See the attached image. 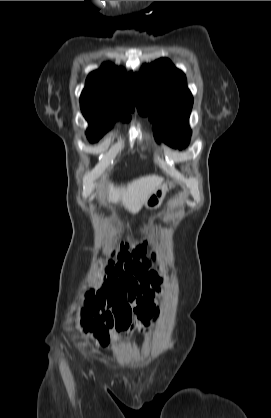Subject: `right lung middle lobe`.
Wrapping results in <instances>:
<instances>
[{"mask_svg":"<svg viewBox=\"0 0 271 418\" xmlns=\"http://www.w3.org/2000/svg\"><path fill=\"white\" fill-rule=\"evenodd\" d=\"M82 112H83L84 117L90 124V128L87 131V137L92 142H95L99 138H101L102 135L112 127L115 120L119 119L120 117L124 121L130 120V115L119 117V116L98 115V114H93V113L84 112V111Z\"/></svg>","mask_w":271,"mask_h":418,"instance_id":"dd1d6c3e","label":"right lung middle lobe"}]
</instances>
